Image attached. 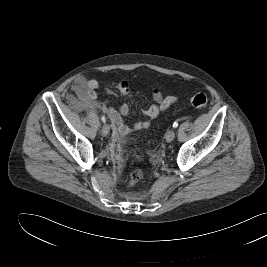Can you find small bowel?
Returning a JSON list of instances; mask_svg holds the SVG:
<instances>
[{"label":"small bowel","instance_id":"obj_1","mask_svg":"<svg viewBox=\"0 0 267 267\" xmlns=\"http://www.w3.org/2000/svg\"><path fill=\"white\" fill-rule=\"evenodd\" d=\"M97 87L98 81L96 79L86 80L79 77L74 81L71 89L87 106L100 109L102 112L107 114L115 131L121 136L127 135L132 129H147L151 124L150 120L157 118L162 113L166 112L172 105L179 102L178 97L164 95L159 89L153 88L151 94L155 104L143 109L142 111L148 119L137 121L132 125V127H129L122 117L123 115H127L129 113V107L127 105L114 107L108 102H98L96 93ZM117 89L125 97L130 98L132 96L131 86L126 80L120 81L117 84Z\"/></svg>","mask_w":267,"mask_h":267}]
</instances>
